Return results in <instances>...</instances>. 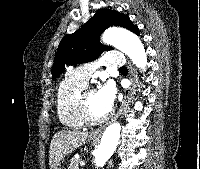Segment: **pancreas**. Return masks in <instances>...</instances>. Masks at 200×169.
<instances>
[{"label":"pancreas","instance_id":"obj_1","mask_svg":"<svg viewBox=\"0 0 200 169\" xmlns=\"http://www.w3.org/2000/svg\"><path fill=\"white\" fill-rule=\"evenodd\" d=\"M81 161H82L81 159H78V158H75V157L72 158L68 169H80L79 164H80Z\"/></svg>","mask_w":200,"mask_h":169}]
</instances>
